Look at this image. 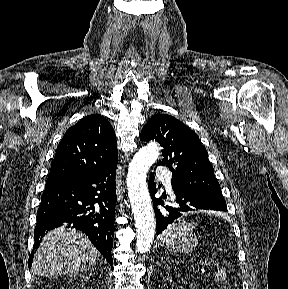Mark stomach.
<instances>
[{
	"label": "stomach",
	"instance_id": "obj_1",
	"mask_svg": "<svg viewBox=\"0 0 288 289\" xmlns=\"http://www.w3.org/2000/svg\"><path fill=\"white\" fill-rule=\"evenodd\" d=\"M198 244L196 234L190 232L186 235L178 237L172 242L165 243L167 250L171 252H191Z\"/></svg>",
	"mask_w": 288,
	"mask_h": 289
}]
</instances>
